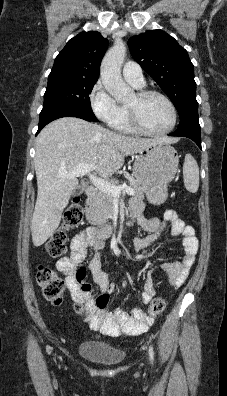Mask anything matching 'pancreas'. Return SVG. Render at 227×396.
<instances>
[{"label": "pancreas", "instance_id": "cf45deb5", "mask_svg": "<svg viewBox=\"0 0 227 396\" xmlns=\"http://www.w3.org/2000/svg\"><path fill=\"white\" fill-rule=\"evenodd\" d=\"M114 184H117L115 181ZM129 187L134 189V196L144 197V191L141 185L134 178L129 179ZM114 197L110 194L98 190L96 196L87 202L85 209L86 219L91 225H104L112 218L114 212Z\"/></svg>", "mask_w": 227, "mask_h": 396}]
</instances>
